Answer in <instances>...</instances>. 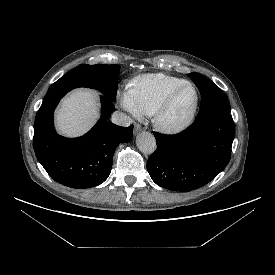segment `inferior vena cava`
Listing matches in <instances>:
<instances>
[{"label":"inferior vena cava","mask_w":275,"mask_h":275,"mask_svg":"<svg viewBox=\"0 0 275 275\" xmlns=\"http://www.w3.org/2000/svg\"><path fill=\"white\" fill-rule=\"evenodd\" d=\"M112 122L116 125L127 127L131 125L132 119L125 113L116 111L112 114Z\"/></svg>","instance_id":"inferior-vena-cava-1"}]
</instances>
